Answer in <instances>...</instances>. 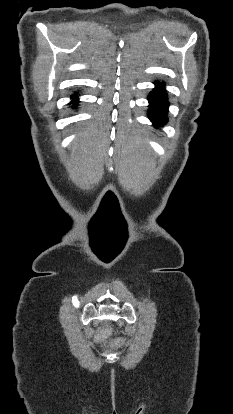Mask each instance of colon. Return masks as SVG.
<instances>
[{
    "label": "colon",
    "instance_id": "obj_1",
    "mask_svg": "<svg viewBox=\"0 0 233 414\" xmlns=\"http://www.w3.org/2000/svg\"><path fill=\"white\" fill-rule=\"evenodd\" d=\"M107 333H108V330L104 329L103 332H102V335H106Z\"/></svg>",
    "mask_w": 233,
    "mask_h": 414
}]
</instances>
